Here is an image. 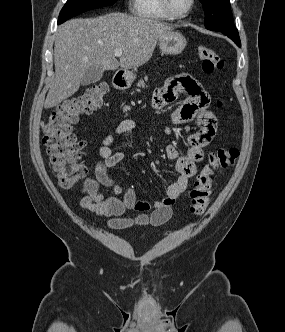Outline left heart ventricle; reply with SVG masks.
I'll use <instances>...</instances> for the list:
<instances>
[{
  "mask_svg": "<svg viewBox=\"0 0 285 332\" xmlns=\"http://www.w3.org/2000/svg\"><path fill=\"white\" fill-rule=\"evenodd\" d=\"M170 2L174 11L180 14L184 13L190 5V0H170Z\"/></svg>",
  "mask_w": 285,
  "mask_h": 332,
  "instance_id": "b2bd125f",
  "label": "left heart ventricle"
}]
</instances>
